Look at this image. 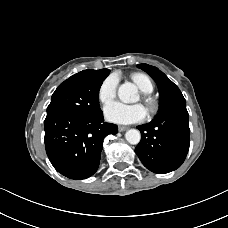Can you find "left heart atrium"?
<instances>
[{
	"label": "left heart atrium",
	"instance_id": "obj_1",
	"mask_svg": "<svg viewBox=\"0 0 228 228\" xmlns=\"http://www.w3.org/2000/svg\"><path fill=\"white\" fill-rule=\"evenodd\" d=\"M107 121L115 124H133L141 122L146 117L145 108L140 105H127L122 102H113L104 109Z\"/></svg>",
	"mask_w": 228,
	"mask_h": 228
}]
</instances>
